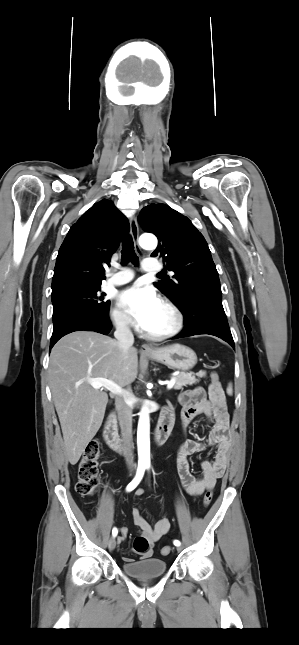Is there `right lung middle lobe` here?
Returning a JSON list of instances; mask_svg holds the SVG:
<instances>
[{
    "mask_svg": "<svg viewBox=\"0 0 299 645\" xmlns=\"http://www.w3.org/2000/svg\"><path fill=\"white\" fill-rule=\"evenodd\" d=\"M100 286H72L52 293L53 324L56 330L76 318L108 315L110 302L103 301Z\"/></svg>",
    "mask_w": 299,
    "mask_h": 645,
    "instance_id": "1",
    "label": "right lung middle lobe"
}]
</instances>
